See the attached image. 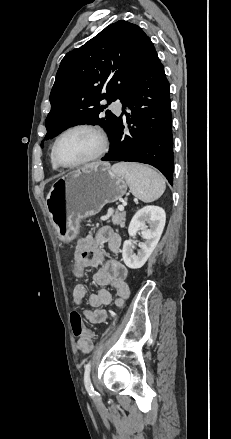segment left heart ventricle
<instances>
[{"instance_id": "1", "label": "left heart ventricle", "mask_w": 231, "mask_h": 439, "mask_svg": "<svg viewBox=\"0 0 231 439\" xmlns=\"http://www.w3.org/2000/svg\"><path fill=\"white\" fill-rule=\"evenodd\" d=\"M99 147L100 140L96 134L87 130H76L62 137L57 152L61 161L72 164L91 157Z\"/></svg>"}]
</instances>
